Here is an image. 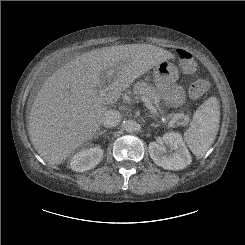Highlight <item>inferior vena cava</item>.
Segmentation results:
<instances>
[{
  "mask_svg": "<svg viewBox=\"0 0 245 245\" xmlns=\"http://www.w3.org/2000/svg\"><path fill=\"white\" fill-rule=\"evenodd\" d=\"M122 119V116L119 111L117 110H107L103 117L101 123L107 127V128H112L117 126Z\"/></svg>",
  "mask_w": 245,
  "mask_h": 245,
  "instance_id": "602c4592",
  "label": "inferior vena cava"
}]
</instances>
